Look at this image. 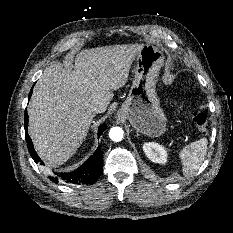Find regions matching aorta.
<instances>
[{"instance_id":"762f6f07","label":"aorta","mask_w":233,"mask_h":233,"mask_svg":"<svg viewBox=\"0 0 233 233\" xmlns=\"http://www.w3.org/2000/svg\"><path fill=\"white\" fill-rule=\"evenodd\" d=\"M124 131L120 127H112L109 131V137L114 142H120L123 139Z\"/></svg>"}]
</instances>
